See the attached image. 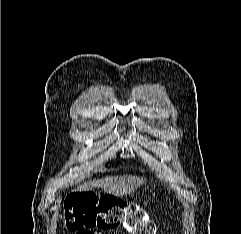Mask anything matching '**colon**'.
Returning a JSON list of instances; mask_svg holds the SVG:
<instances>
[{
	"mask_svg": "<svg viewBox=\"0 0 241 234\" xmlns=\"http://www.w3.org/2000/svg\"><path fill=\"white\" fill-rule=\"evenodd\" d=\"M64 222L70 231L91 228L113 229L123 226L131 234H154V224L137 205L110 196L90 193L69 195L64 204Z\"/></svg>",
	"mask_w": 241,
	"mask_h": 234,
	"instance_id": "colon-1",
	"label": "colon"
}]
</instances>
